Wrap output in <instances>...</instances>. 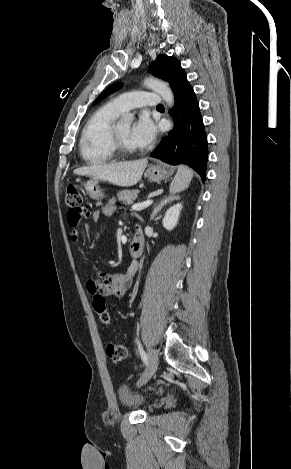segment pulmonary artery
<instances>
[{"label": "pulmonary artery", "mask_w": 291, "mask_h": 469, "mask_svg": "<svg viewBox=\"0 0 291 469\" xmlns=\"http://www.w3.org/2000/svg\"><path fill=\"white\" fill-rule=\"evenodd\" d=\"M162 102L161 97L154 92L134 91L121 94L111 100V104L120 112L140 107H157Z\"/></svg>", "instance_id": "obj_1"}]
</instances>
